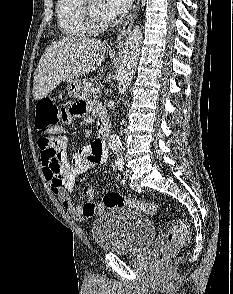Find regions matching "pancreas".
<instances>
[{"mask_svg": "<svg viewBox=\"0 0 233 294\" xmlns=\"http://www.w3.org/2000/svg\"><path fill=\"white\" fill-rule=\"evenodd\" d=\"M91 96V86L88 81H84L81 89V98L87 99Z\"/></svg>", "mask_w": 233, "mask_h": 294, "instance_id": "1", "label": "pancreas"}]
</instances>
